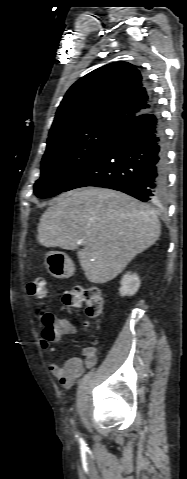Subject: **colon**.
I'll use <instances>...</instances> for the list:
<instances>
[{
	"instance_id": "1",
	"label": "colon",
	"mask_w": 187,
	"mask_h": 479,
	"mask_svg": "<svg viewBox=\"0 0 187 479\" xmlns=\"http://www.w3.org/2000/svg\"><path fill=\"white\" fill-rule=\"evenodd\" d=\"M27 290L30 296L37 299H46L49 295L47 281L44 277H37L30 281ZM62 301L68 308H83L90 319L97 318L103 311L102 294L97 287L93 286H71L65 290ZM39 316L43 324L42 337L48 340H57L64 336L65 327L53 314L43 311Z\"/></svg>"
}]
</instances>
